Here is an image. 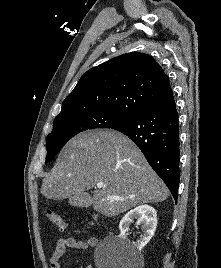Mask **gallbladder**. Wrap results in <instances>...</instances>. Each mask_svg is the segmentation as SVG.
I'll list each match as a JSON object with an SVG mask.
<instances>
[{"label": "gallbladder", "instance_id": "obj_1", "mask_svg": "<svg viewBox=\"0 0 221 268\" xmlns=\"http://www.w3.org/2000/svg\"><path fill=\"white\" fill-rule=\"evenodd\" d=\"M83 199H71V204L73 207L87 208L91 205V196L86 193L82 195Z\"/></svg>", "mask_w": 221, "mask_h": 268}]
</instances>
